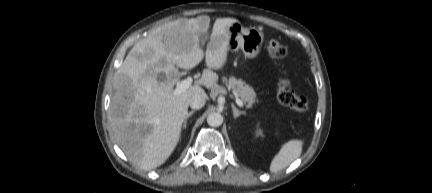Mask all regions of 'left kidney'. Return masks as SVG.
Returning a JSON list of instances; mask_svg holds the SVG:
<instances>
[{
	"label": "left kidney",
	"mask_w": 432,
	"mask_h": 193,
	"mask_svg": "<svg viewBox=\"0 0 432 193\" xmlns=\"http://www.w3.org/2000/svg\"><path fill=\"white\" fill-rule=\"evenodd\" d=\"M255 135H256V137H259V136L262 137V136H264L263 135V131L261 129H257L256 132H255Z\"/></svg>",
	"instance_id": "1"
}]
</instances>
